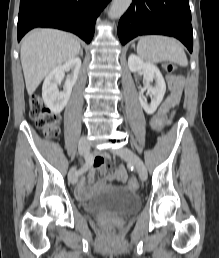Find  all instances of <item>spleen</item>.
<instances>
[{"label": "spleen", "mask_w": 219, "mask_h": 258, "mask_svg": "<svg viewBox=\"0 0 219 258\" xmlns=\"http://www.w3.org/2000/svg\"><path fill=\"white\" fill-rule=\"evenodd\" d=\"M137 54L142 60L151 63L172 61L181 66L188 65L181 43L170 37L160 35L141 37L137 44Z\"/></svg>", "instance_id": "obj_1"}]
</instances>
